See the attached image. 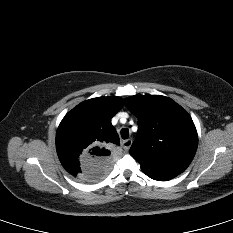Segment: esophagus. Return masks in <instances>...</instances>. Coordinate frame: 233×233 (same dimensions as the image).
Here are the masks:
<instances>
[{
    "mask_svg": "<svg viewBox=\"0 0 233 233\" xmlns=\"http://www.w3.org/2000/svg\"><path fill=\"white\" fill-rule=\"evenodd\" d=\"M132 142H133L132 139L124 140L122 142V146H123L124 150L128 151L132 145Z\"/></svg>",
    "mask_w": 233,
    "mask_h": 233,
    "instance_id": "esophagus-1",
    "label": "esophagus"
}]
</instances>
